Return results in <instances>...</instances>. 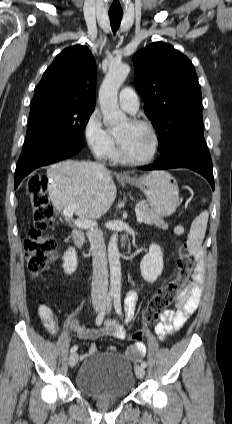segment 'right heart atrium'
I'll return each instance as SVG.
<instances>
[{
  "label": "right heart atrium",
  "instance_id": "1",
  "mask_svg": "<svg viewBox=\"0 0 232 424\" xmlns=\"http://www.w3.org/2000/svg\"><path fill=\"white\" fill-rule=\"evenodd\" d=\"M83 135L90 151L99 158L111 155L115 147L113 135L104 127L100 116L93 112L87 119Z\"/></svg>",
  "mask_w": 232,
  "mask_h": 424
}]
</instances>
